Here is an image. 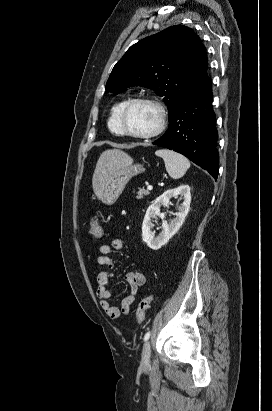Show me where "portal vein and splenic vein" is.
Returning a JSON list of instances; mask_svg holds the SVG:
<instances>
[{"label":"portal vein and splenic vein","mask_w":272,"mask_h":411,"mask_svg":"<svg viewBox=\"0 0 272 411\" xmlns=\"http://www.w3.org/2000/svg\"><path fill=\"white\" fill-rule=\"evenodd\" d=\"M147 189H148V190H152V189H153V186L149 184V185L147 186Z\"/></svg>","instance_id":"portal-vein-and-splenic-vein-1"}]
</instances>
